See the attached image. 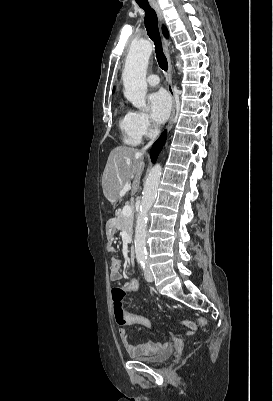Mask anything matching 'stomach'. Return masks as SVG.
<instances>
[{
    "label": "stomach",
    "mask_w": 273,
    "mask_h": 401,
    "mask_svg": "<svg viewBox=\"0 0 273 401\" xmlns=\"http://www.w3.org/2000/svg\"><path fill=\"white\" fill-rule=\"evenodd\" d=\"M116 231V227L114 225V221H108L106 225V235L108 239H112L114 237Z\"/></svg>",
    "instance_id": "stomach-1"
}]
</instances>
